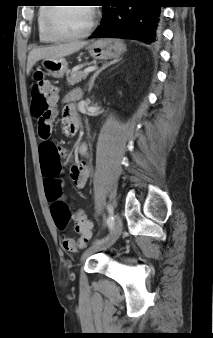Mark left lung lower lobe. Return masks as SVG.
Wrapping results in <instances>:
<instances>
[{
    "label": "left lung lower lobe",
    "instance_id": "left-lung-lower-lobe-1",
    "mask_svg": "<svg viewBox=\"0 0 213 338\" xmlns=\"http://www.w3.org/2000/svg\"><path fill=\"white\" fill-rule=\"evenodd\" d=\"M101 24L89 38L116 37L154 43L161 37V0H105Z\"/></svg>",
    "mask_w": 213,
    "mask_h": 338
}]
</instances>
